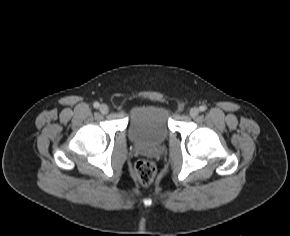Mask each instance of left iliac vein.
Returning <instances> with one entry per match:
<instances>
[{"mask_svg": "<svg viewBox=\"0 0 290 236\" xmlns=\"http://www.w3.org/2000/svg\"><path fill=\"white\" fill-rule=\"evenodd\" d=\"M198 114H199V109L197 107L191 108V110H190L191 117H196V116H198Z\"/></svg>", "mask_w": 290, "mask_h": 236, "instance_id": "4c4485c4", "label": "left iliac vein"}]
</instances>
